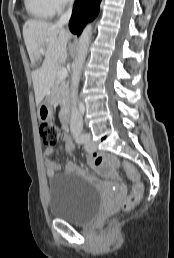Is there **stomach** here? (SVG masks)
I'll return each instance as SVG.
<instances>
[{"label": "stomach", "mask_w": 174, "mask_h": 258, "mask_svg": "<svg viewBox=\"0 0 174 258\" xmlns=\"http://www.w3.org/2000/svg\"><path fill=\"white\" fill-rule=\"evenodd\" d=\"M52 93H48L44 101L38 107V118L40 121H49L53 116Z\"/></svg>", "instance_id": "0dacf381"}]
</instances>
